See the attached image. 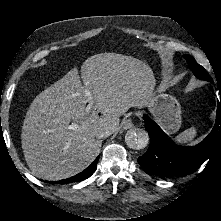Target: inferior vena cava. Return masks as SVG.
Returning a JSON list of instances; mask_svg holds the SVG:
<instances>
[{"label":"inferior vena cava","instance_id":"inferior-vena-cava-1","mask_svg":"<svg viewBox=\"0 0 221 221\" xmlns=\"http://www.w3.org/2000/svg\"><path fill=\"white\" fill-rule=\"evenodd\" d=\"M113 131L114 130L112 127H103L97 131L96 136L97 138H105L110 136L113 133Z\"/></svg>","mask_w":221,"mask_h":221}]
</instances>
